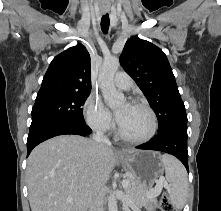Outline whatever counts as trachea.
Here are the masks:
<instances>
[{"instance_id":"obj_1","label":"trachea","mask_w":221,"mask_h":211,"mask_svg":"<svg viewBox=\"0 0 221 211\" xmlns=\"http://www.w3.org/2000/svg\"><path fill=\"white\" fill-rule=\"evenodd\" d=\"M110 19L108 13L103 15L101 18V30L104 34H107L109 30Z\"/></svg>"}]
</instances>
